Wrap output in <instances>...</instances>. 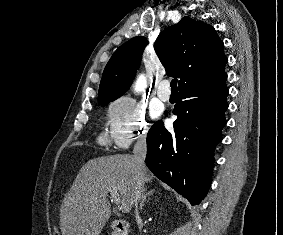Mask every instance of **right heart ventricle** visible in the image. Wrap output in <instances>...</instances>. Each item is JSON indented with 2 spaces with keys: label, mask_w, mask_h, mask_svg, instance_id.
<instances>
[{
  "label": "right heart ventricle",
  "mask_w": 283,
  "mask_h": 235,
  "mask_svg": "<svg viewBox=\"0 0 283 235\" xmlns=\"http://www.w3.org/2000/svg\"><path fill=\"white\" fill-rule=\"evenodd\" d=\"M101 141H102V142H106L105 136H102V137H101Z\"/></svg>",
  "instance_id": "right-heart-ventricle-1"
}]
</instances>
